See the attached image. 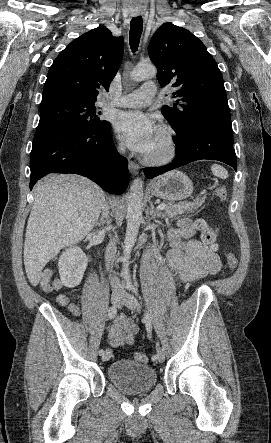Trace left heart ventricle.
Segmentation results:
<instances>
[{"label": "left heart ventricle", "mask_w": 271, "mask_h": 443, "mask_svg": "<svg viewBox=\"0 0 271 443\" xmlns=\"http://www.w3.org/2000/svg\"><path fill=\"white\" fill-rule=\"evenodd\" d=\"M164 149H165L164 138L157 131H155L153 144L148 154H158L162 152Z\"/></svg>", "instance_id": "left-heart-ventricle-1"}]
</instances>
